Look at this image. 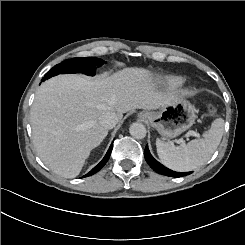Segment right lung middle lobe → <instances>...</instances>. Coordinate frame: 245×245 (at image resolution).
Listing matches in <instances>:
<instances>
[{"mask_svg": "<svg viewBox=\"0 0 245 245\" xmlns=\"http://www.w3.org/2000/svg\"><path fill=\"white\" fill-rule=\"evenodd\" d=\"M103 63L104 61L102 59L94 57L67 59L54 66L49 72L45 74V77L42 80L65 73L82 72L86 75H94L95 68L101 66Z\"/></svg>", "mask_w": 245, "mask_h": 245, "instance_id": "1", "label": "right lung middle lobe"}]
</instances>
